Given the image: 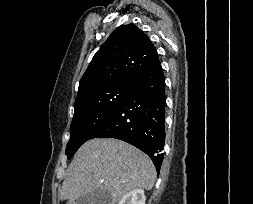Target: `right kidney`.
Wrapping results in <instances>:
<instances>
[{"label":"right kidney","mask_w":253,"mask_h":204,"mask_svg":"<svg viewBox=\"0 0 253 204\" xmlns=\"http://www.w3.org/2000/svg\"><path fill=\"white\" fill-rule=\"evenodd\" d=\"M146 196L142 189H135L125 194L118 204H145Z\"/></svg>","instance_id":"ca27d5eb"}]
</instances>
